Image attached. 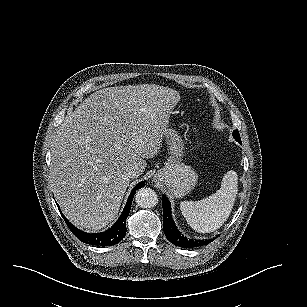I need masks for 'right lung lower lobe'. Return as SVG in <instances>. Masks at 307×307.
I'll list each match as a JSON object with an SVG mask.
<instances>
[{
	"label": "right lung lower lobe",
	"instance_id": "obj_1",
	"mask_svg": "<svg viewBox=\"0 0 307 307\" xmlns=\"http://www.w3.org/2000/svg\"><path fill=\"white\" fill-rule=\"evenodd\" d=\"M144 184H145V182L141 181L140 183H138L133 188L132 192L129 195L128 201H127V203L124 207V210H123L120 218L116 221V223L111 228H109L105 232L92 233V234L85 233V232L77 229L70 222H68V220L63 216L62 212H61V215L63 216L65 222L67 223V226L72 231V233L77 238H79L82 242H84L86 244H90V245H97V246H103V247L115 245L118 242H120L126 234L127 230H126V221L125 220L129 215L134 194H135L136 190L143 187ZM57 206H58V204H57ZM58 208H59V206H58ZM59 211H60V209H59Z\"/></svg>",
	"mask_w": 307,
	"mask_h": 307
}]
</instances>
